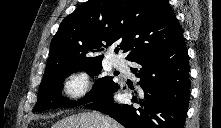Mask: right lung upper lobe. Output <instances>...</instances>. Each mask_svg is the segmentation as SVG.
I'll return each instance as SVG.
<instances>
[{
  "label": "right lung upper lobe",
  "mask_w": 221,
  "mask_h": 128,
  "mask_svg": "<svg viewBox=\"0 0 221 128\" xmlns=\"http://www.w3.org/2000/svg\"><path fill=\"white\" fill-rule=\"evenodd\" d=\"M182 39L166 0H88L60 24L46 68L74 60H102V52L113 44L128 52L126 59L131 61Z\"/></svg>",
  "instance_id": "1"
}]
</instances>
